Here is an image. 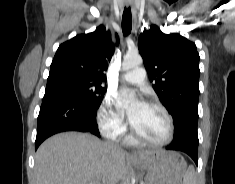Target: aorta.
<instances>
[{
  "instance_id": "obj_1",
  "label": "aorta",
  "mask_w": 235,
  "mask_h": 184,
  "mask_svg": "<svg viewBox=\"0 0 235 184\" xmlns=\"http://www.w3.org/2000/svg\"><path fill=\"white\" fill-rule=\"evenodd\" d=\"M143 64V60L139 54H127L123 60L122 70H132V68H137V66H141ZM123 96H127V94H123Z\"/></svg>"
}]
</instances>
